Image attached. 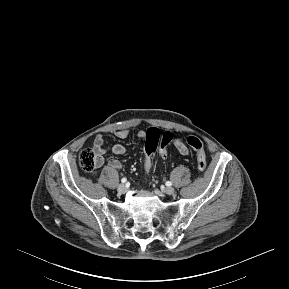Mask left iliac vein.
Returning a JSON list of instances; mask_svg holds the SVG:
<instances>
[{"mask_svg":"<svg viewBox=\"0 0 289 289\" xmlns=\"http://www.w3.org/2000/svg\"><path fill=\"white\" fill-rule=\"evenodd\" d=\"M164 192L168 195H171L175 192V189L173 187L168 186L165 188Z\"/></svg>","mask_w":289,"mask_h":289,"instance_id":"left-iliac-vein-1","label":"left iliac vein"}]
</instances>
